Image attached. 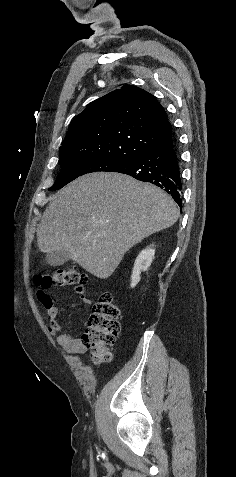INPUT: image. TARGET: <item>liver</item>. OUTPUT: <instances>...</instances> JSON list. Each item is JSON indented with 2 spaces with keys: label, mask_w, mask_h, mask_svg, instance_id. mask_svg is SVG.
I'll return each mask as SVG.
<instances>
[{
  "label": "liver",
  "mask_w": 236,
  "mask_h": 477,
  "mask_svg": "<svg viewBox=\"0 0 236 477\" xmlns=\"http://www.w3.org/2000/svg\"><path fill=\"white\" fill-rule=\"evenodd\" d=\"M178 217L176 203L160 188L125 174L91 173L53 196L37 243L41 252L67 251L83 269L107 279L127 251Z\"/></svg>",
  "instance_id": "6515ba94"
}]
</instances>
